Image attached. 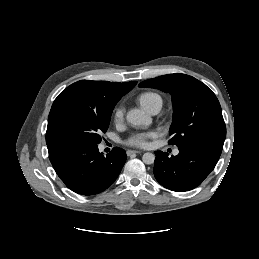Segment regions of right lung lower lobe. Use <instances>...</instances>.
<instances>
[{
  "mask_svg": "<svg viewBox=\"0 0 259 259\" xmlns=\"http://www.w3.org/2000/svg\"><path fill=\"white\" fill-rule=\"evenodd\" d=\"M50 162L64 184L82 195L98 194L117 179L126 154L115 147L106 157L97 144L49 145Z\"/></svg>",
  "mask_w": 259,
  "mask_h": 259,
  "instance_id": "98d812e1",
  "label": "right lung lower lobe"
}]
</instances>
